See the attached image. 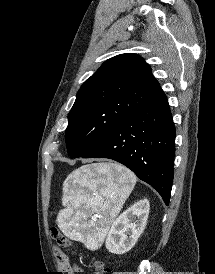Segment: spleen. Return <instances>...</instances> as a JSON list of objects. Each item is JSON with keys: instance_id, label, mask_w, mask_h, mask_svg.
I'll use <instances>...</instances> for the list:
<instances>
[{"instance_id": "1", "label": "spleen", "mask_w": 215, "mask_h": 274, "mask_svg": "<svg viewBox=\"0 0 215 274\" xmlns=\"http://www.w3.org/2000/svg\"><path fill=\"white\" fill-rule=\"evenodd\" d=\"M136 176L118 164L99 163L74 170L63 183L59 228L69 238L92 246L102 242L136 184ZM94 213L88 223L85 218Z\"/></svg>"}]
</instances>
